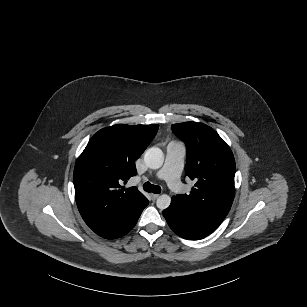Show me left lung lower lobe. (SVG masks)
Returning a JSON list of instances; mask_svg holds the SVG:
<instances>
[{
  "instance_id": "0a47b994",
  "label": "left lung lower lobe",
  "mask_w": 307,
  "mask_h": 307,
  "mask_svg": "<svg viewBox=\"0 0 307 307\" xmlns=\"http://www.w3.org/2000/svg\"><path fill=\"white\" fill-rule=\"evenodd\" d=\"M163 215L170 228L185 239L199 240L216 229L186 211L174 197L171 199L170 206L163 211Z\"/></svg>"
}]
</instances>
